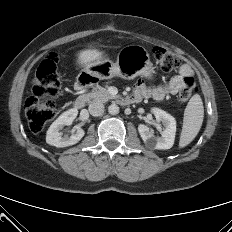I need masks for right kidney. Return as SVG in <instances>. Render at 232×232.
Returning a JSON list of instances; mask_svg holds the SVG:
<instances>
[{
  "label": "right kidney",
  "instance_id": "1",
  "mask_svg": "<svg viewBox=\"0 0 232 232\" xmlns=\"http://www.w3.org/2000/svg\"><path fill=\"white\" fill-rule=\"evenodd\" d=\"M77 114V109H69L62 113L49 127L46 135V142L49 145L59 148L72 146L78 143L85 134L83 129L78 128L76 133L71 136L65 135L62 137V133L60 132L65 125L68 126L72 124L74 119L77 117Z\"/></svg>",
  "mask_w": 232,
  "mask_h": 232
}]
</instances>
